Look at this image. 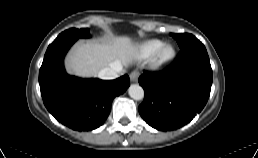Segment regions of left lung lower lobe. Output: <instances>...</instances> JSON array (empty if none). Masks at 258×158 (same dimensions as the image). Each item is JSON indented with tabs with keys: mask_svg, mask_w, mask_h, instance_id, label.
I'll list each match as a JSON object with an SVG mask.
<instances>
[{
	"mask_svg": "<svg viewBox=\"0 0 258 158\" xmlns=\"http://www.w3.org/2000/svg\"><path fill=\"white\" fill-rule=\"evenodd\" d=\"M139 84L145 98L139 113L161 131L180 128L200 113L208 101L212 69L205 46L194 41L181 48L179 58L164 71H144Z\"/></svg>",
	"mask_w": 258,
	"mask_h": 158,
	"instance_id": "left-lung-lower-lobe-1",
	"label": "left lung lower lobe"
}]
</instances>
